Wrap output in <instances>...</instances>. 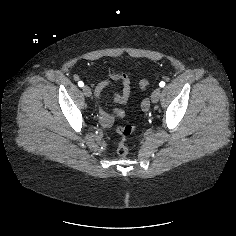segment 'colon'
<instances>
[{
  "mask_svg": "<svg viewBox=\"0 0 236 236\" xmlns=\"http://www.w3.org/2000/svg\"><path fill=\"white\" fill-rule=\"evenodd\" d=\"M140 88L142 90H146L149 86V82L147 80H141L140 83ZM144 109L148 108V102L144 101L142 104ZM136 130V127L133 125H118L116 127V131L118 132V134H120L123 138H126L128 136H130L134 131ZM117 153L119 156L124 157L127 155L128 153V148L125 144L124 141L120 142V144L118 145L117 148Z\"/></svg>",
  "mask_w": 236,
  "mask_h": 236,
  "instance_id": "obj_1",
  "label": "colon"
}]
</instances>
